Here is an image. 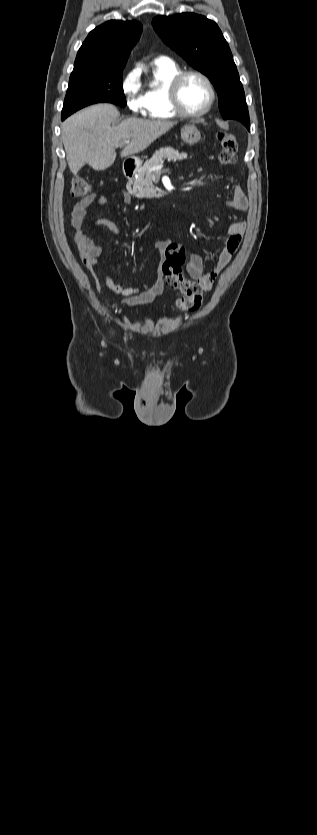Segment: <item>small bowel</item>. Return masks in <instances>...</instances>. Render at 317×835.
<instances>
[{"label":"small bowel","instance_id":"obj_1","mask_svg":"<svg viewBox=\"0 0 317 835\" xmlns=\"http://www.w3.org/2000/svg\"><path fill=\"white\" fill-rule=\"evenodd\" d=\"M123 200L129 204L131 197L128 194H123ZM106 202L107 199L104 196H97L95 193H90L79 200L72 210L71 225L73 228V241L79 249V254L84 265L92 273H95L100 265L98 259L103 255V247L87 235L84 220L87 215V210L92 204L97 203L102 205ZM228 205L237 211L243 212L247 210V197L239 183L234 185L233 195L228 201ZM91 225L107 229L115 237L113 246H118L120 242V229L114 221L107 218H98ZM243 233L244 226L242 223L235 222L228 227L225 243L220 251L217 266L211 272L204 273V261L199 254L189 256L186 264L187 274L201 285L203 291H208L212 288L221 271L230 263L241 244ZM155 248L159 254L160 264L166 259L180 260L184 264L186 251L183 245L174 243L169 239H163L156 243ZM103 283L113 293L121 295L124 298L121 304L127 307H133L143 303L149 297L157 296L164 290L163 274L160 269L156 274L154 282L143 287L122 286L116 283L108 274L104 275Z\"/></svg>","mask_w":317,"mask_h":835}]
</instances>
